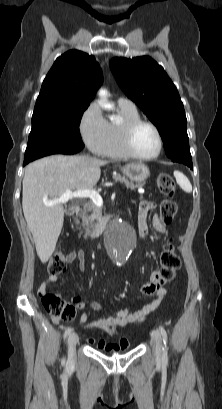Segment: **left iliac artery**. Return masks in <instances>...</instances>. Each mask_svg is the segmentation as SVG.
<instances>
[{
    "instance_id": "1",
    "label": "left iliac artery",
    "mask_w": 222,
    "mask_h": 409,
    "mask_svg": "<svg viewBox=\"0 0 222 409\" xmlns=\"http://www.w3.org/2000/svg\"><path fill=\"white\" fill-rule=\"evenodd\" d=\"M159 331L162 335L163 338V343H164V347L162 349L163 351V359L167 361L168 359V355H167V351H168V347H167V341H168V336H167V332L165 330V328L163 326H159Z\"/></svg>"
}]
</instances>
